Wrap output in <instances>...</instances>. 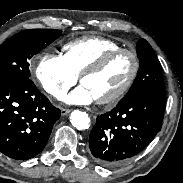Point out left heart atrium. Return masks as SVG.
I'll list each match as a JSON object with an SVG mask.
<instances>
[{
  "instance_id": "obj_1",
  "label": "left heart atrium",
  "mask_w": 183,
  "mask_h": 183,
  "mask_svg": "<svg viewBox=\"0 0 183 183\" xmlns=\"http://www.w3.org/2000/svg\"><path fill=\"white\" fill-rule=\"evenodd\" d=\"M94 100L96 99L89 89L84 85H80L66 97L65 101L68 104L83 105L89 104Z\"/></svg>"
}]
</instances>
